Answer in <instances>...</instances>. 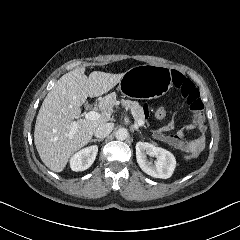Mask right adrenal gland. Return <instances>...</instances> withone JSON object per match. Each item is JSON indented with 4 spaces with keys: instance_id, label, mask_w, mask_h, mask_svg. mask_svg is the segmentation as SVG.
<instances>
[{
    "instance_id": "right-adrenal-gland-1",
    "label": "right adrenal gland",
    "mask_w": 240,
    "mask_h": 240,
    "mask_svg": "<svg viewBox=\"0 0 240 240\" xmlns=\"http://www.w3.org/2000/svg\"><path fill=\"white\" fill-rule=\"evenodd\" d=\"M102 139H92L91 142H101Z\"/></svg>"
}]
</instances>
